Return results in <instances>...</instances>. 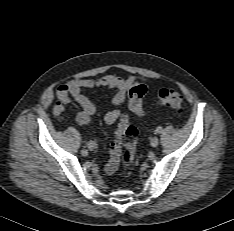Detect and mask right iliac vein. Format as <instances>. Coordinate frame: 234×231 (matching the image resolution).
Masks as SVG:
<instances>
[{
	"instance_id": "63e3f726",
	"label": "right iliac vein",
	"mask_w": 234,
	"mask_h": 231,
	"mask_svg": "<svg viewBox=\"0 0 234 231\" xmlns=\"http://www.w3.org/2000/svg\"><path fill=\"white\" fill-rule=\"evenodd\" d=\"M81 154L83 156H87L88 155V151L86 149H83V150H81Z\"/></svg>"
}]
</instances>
